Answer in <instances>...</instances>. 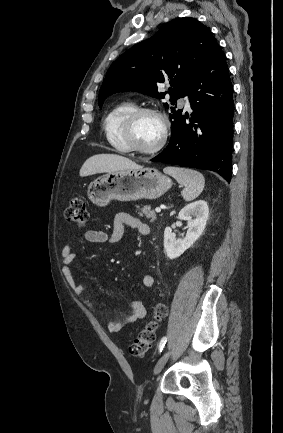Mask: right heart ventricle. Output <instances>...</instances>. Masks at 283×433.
<instances>
[{"label":"right heart ventricle","mask_w":283,"mask_h":433,"mask_svg":"<svg viewBox=\"0 0 283 433\" xmlns=\"http://www.w3.org/2000/svg\"><path fill=\"white\" fill-rule=\"evenodd\" d=\"M135 108L134 103L130 101L123 102L110 110L102 123L108 143L120 153L129 152L121 139V127L126 115Z\"/></svg>","instance_id":"e07e8e85"}]
</instances>
